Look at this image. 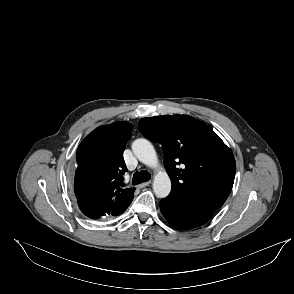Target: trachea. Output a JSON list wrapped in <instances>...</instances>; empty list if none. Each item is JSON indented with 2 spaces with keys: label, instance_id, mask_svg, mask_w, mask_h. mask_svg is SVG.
<instances>
[{
  "label": "trachea",
  "instance_id": "3493384b",
  "mask_svg": "<svg viewBox=\"0 0 294 294\" xmlns=\"http://www.w3.org/2000/svg\"><path fill=\"white\" fill-rule=\"evenodd\" d=\"M150 178H151V175L148 171H140V172L137 171L133 175L132 184L136 185L143 182H147L150 180Z\"/></svg>",
  "mask_w": 294,
  "mask_h": 294
}]
</instances>
